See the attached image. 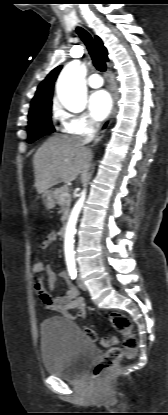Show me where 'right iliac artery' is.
Here are the masks:
<instances>
[{
  "label": "right iliac artery",
  "mask_w": 168,
  "mask_h": 415,
  "mask_svg": "<svg viewBox=\"0 0 168 415\" xmlns=\"http://www.w3.org/2000/svg\"><path fill=\"white\" fill-rule=\"evenodd\" d=\"M68 273L71 279H75L76 278V269L75 267H69L68 268Z\"/></svg>",
  "instance_id": "right-iliac-artery-1"
}]
</instances>
